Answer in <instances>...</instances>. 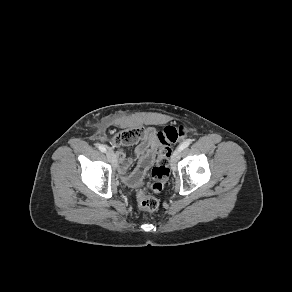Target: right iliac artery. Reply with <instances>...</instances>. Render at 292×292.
Here are the masks:
<instances>
[{
	"instance_id": "obj_1",
	"label": "right iliac artery",
	"mask_w": 292,
	"mask_h": 292,
	"mask_svg": "<svg viewBox=\"0 0 292 292\" xmlns=\"http://www.w3.org/2000/svg\"><path fill=\"white\" fill-rule=\"evenodd\" d=\"M98 148H99V150H100L101 152H106V151H107V150H106V147H105L104 145H99Z\"/></svg>"
}]
</instances>
